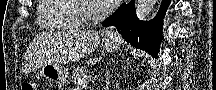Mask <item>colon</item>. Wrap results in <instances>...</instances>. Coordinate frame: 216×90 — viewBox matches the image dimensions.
I'll return each instance as SVG.
<instances>
[{
    "instance_id": "colon-1",
    "label": "colon",
    "mask_w": 216,
    "mask_h": 90,
    "mask_svg": "<svg viewBox=\"0 0 216 90\" xmlns=\"http://www.w3.org/2000/svg\"><path fill=\"white\" fill-rule=\"evenodd\" d=\"M22 90H36L35 86L31 83H24L22 85Z\"/></svg>"
}]
</instances>
